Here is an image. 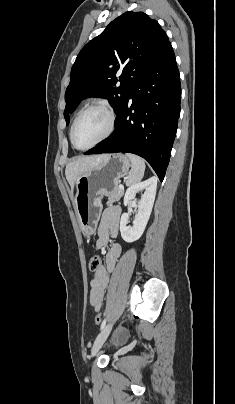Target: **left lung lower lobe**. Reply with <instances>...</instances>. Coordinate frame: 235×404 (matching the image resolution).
Instances as JSON below:
<instances>
[{"label":"left lung lower lobe","instance_id":"0a47b994","mask_svg":"<svg viewBox=\"0 0 235 404\" xmlns=\"http://www.w3.org/2000/svg\"><path fill=\"white\" fill-rule=\"evenodd\" d=\"M180 100V76L169 43L134 83L117 113L113 134L85 154H137L162 182L176 135Z\"/></svg>","mask_w":235,"mask_h":404}]
</instances>
